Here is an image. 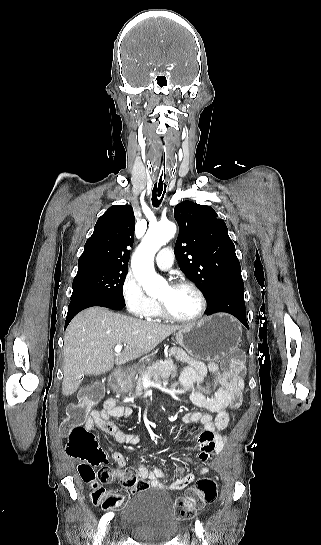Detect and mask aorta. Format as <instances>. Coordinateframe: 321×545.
Instances as JSON below:
<instances>
[{
	"label": "aorta",
	"mask_w": 321,
	"mask_h": 545,
	"mask_svg": "<svg viewBox=\"0 0 321 545\" xmlns=\"http://www.w3.org/2000/svg\"><path fill=\"white\" fill-rule=\"evenodd\" d=\"M175 233L176 225L169 221L158 222L149 226L146 235L132 257L133 273L148 294L156 295L166 285V281L156 274L153 261L156 252L171 240Z\"/></svg>",
	"instance_id": "obj_1"
}]
</instances>
